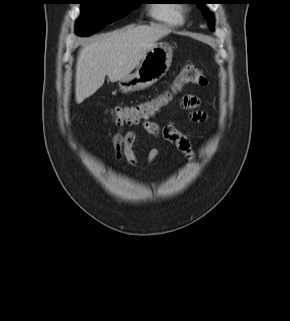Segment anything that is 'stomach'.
Segmentation results:
<instances>
[{
	"label": "stomach",
	"instance_id": "1",
	"mask_svg": "<svg viewBox=\"0 0 290 321\" xmlns=\"http://www.w3.org/2000/svg\"><path fill=\"white\" fill-rule=\"evenodd\" d=\"M172 47L167 43H155L147 51L136 71L119 81L120 89L125 92L146 89L159 81L168 71L172 61Z\"/></svg>",
	"mask_w": 290,
	"mask_h": 321
}]
</instances>
